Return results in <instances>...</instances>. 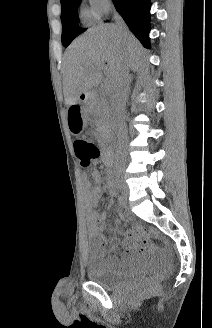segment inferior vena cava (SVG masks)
Returning a JSON list of instances; mask_svg holds the SVG:
<instances>
[{"instance_id":"1","label":"inferior vena cava","mask_w":212,"mask_h":328,"mask_svg":"<svg viewBox=\"0 0 212 328\" xmlns=\"http://www.w3.org/2000/svg\"><path fill=\"white\" fill-rule=\"evenodd\" d=\"M113 18L116 22V27L119 33L126 30V26L120 17V15L116 12H112ZM128 75L126 72L120 73L117 78L115 85L112 90V94L110 97V110L114 119V122L117 127V143H116V166L117 169L114 171V178L120 179L123 171L120 167H124V155L121 152V149L124 147L127 139V127L125 122V106L127 101V93H128Z\"/></svg>"}]
</instances>
